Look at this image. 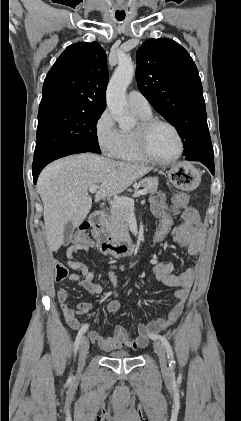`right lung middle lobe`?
<instances>
[{"instance_id":"right-lung-middle-lobe-1","label":"right lung middle lobe","mask_w":241,"mask_h":421,"mask_svg":"<svg viewBox=\"0 0 241 421\" xmlns=\"http://www.w3.org/2000/svg\"><path fill=\"white\" fill-rule=\"evenodd\" d=\"M102 112L71 109L39 111L34 160L69 150L100 154L96 124Z\"/></svg>"}]
</instances>
